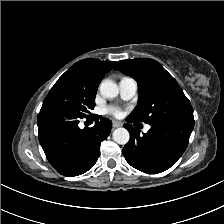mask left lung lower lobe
Masks as SVG:
<instances>
[{
    "label": "left lung lower lobe",
    "instance_id": "0a47b994",
    "mask_svg": "<svg viewBox=\"0 0 224 224\" xmlns=\"http://www.w3.org/2000/svg\"><path fill=\"white\" fill-rule=\"evenodd\" d=\"M127 121L135 122L129 118ZM150 125V130L140 135L132 125L124 124L130 132V140L123 148V155L140 171L160 173L174 165L186 150L194 120L182 118Z\"/></svg>",
    "mask_w": 224,
    "mask_h": 224
}]
</instances>
